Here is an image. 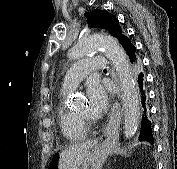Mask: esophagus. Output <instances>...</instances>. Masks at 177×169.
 <instances>
[{
  "label": "esophagus",
  "instance_id": "esophagus-1",
  "mask_svg": "<svg viewBox=\"0 0 177 169\" xmlns=\"http://www.w3.org/2000/svg\"><path fill=\"white\" fill-rule=\"evenodd\" d=\"M111 128H112V121H110L109 124L107 125L104 136L109 133V131H110Z\"/></svg>",
  "mask_w": 177,
  "mask_h": 169
}]
</instances>
